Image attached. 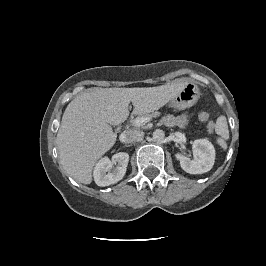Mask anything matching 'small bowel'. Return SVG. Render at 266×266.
Here are the masks:
<instances>
[{
    "label": "small bowel",
    "mask_w": 266,
    "mask_h": 266,
    "mask_svg": "<svg viewBox=\"0 0 266 266\" xmlns=\"http://www.w3.org/2000/svg\"><path fill=\"white\" fill-rule=\"evenodd\" d=\"M165 123L168 125H179V126H184L187 123V117L186 116H167L165 118Z\"/></svg>",
    "instance_id": "c3829d8e"
}]
</instances>
